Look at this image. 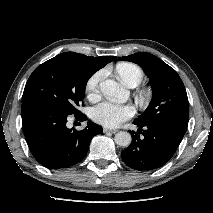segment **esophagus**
Listing matches in <instances>:
<instances>
[{
  "label": "esophagus",
  "mask_w": 213,
  "mask_h": 213,
  "mask_svg": "<svg viewBox=\"0 0 213 213\" xmlns=\"http://www.w3.org/2000/svg\"><path fill=\"white\" fill-rule=\"evenodd\" d=\"M103 132H104V133H113V134H115V133L118 132V130L104 128V129H103Z\"/></svg>",
  "instance_id": "34e87169"
}]
</instances>
